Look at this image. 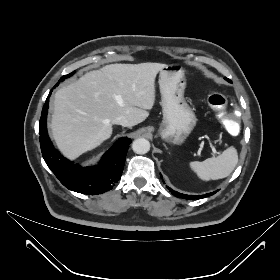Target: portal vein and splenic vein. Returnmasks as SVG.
<instances>
[{
    "label": "portal vein and splenic vein",
    "instance_id": "obj_1",
    "mask_svg": "<svg viewBox=\"0 0 280 280\" xmlns=\"http://www.w3.org/2000/svg\"><path fill=\"white\" fill-rule=\"evenodd\" d=\"M211 144V143H210ZM211 149L213 151L214 154H217L218 152L216 151V149L211 145Z\"/></svg>",
    "mask_w": 280,
    "mask_h": 280
}]
</instances>
